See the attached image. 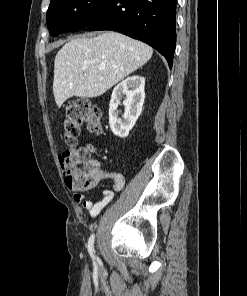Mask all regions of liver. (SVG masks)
Listing matches in <instances>:
<instances>
[{
  "instance_id": "1",
  "label": "liver",
  "mask_w": 247,
  "mask_h": 296,
  "mask_svg": "<svg viewBox=\"0 0 247 296\" xmlns=\"http://www.w3.org/2000/svg\"><path fill=\"white\" fill-rule=\"evenodd\" d=\"M153 49L118 32L67 42L54 61L53 93L57 106L69 98H94L147 63Z\"/></svg>"
}]
</instances>
